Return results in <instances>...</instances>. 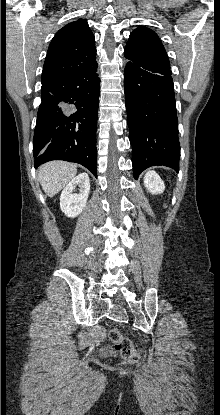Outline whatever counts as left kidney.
I'll list each match as a JSON object with an SVG mask.
<instances>
[{"label":"left kidney","mask_w":220,"mask_h":415,"mask_svg":"<svg viewBox=\"0 0 220 415\" xmlns=\"http://www.w3.org/2000/svg\"><path fill=\"white\" fill-rule=\"evenodd\" d=\"M144 185L151 194H161L164 192L165 185L155 171H148L144 176Z\"/></svg>","instance_id":"left-kidney-1"}]
</instances>
